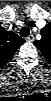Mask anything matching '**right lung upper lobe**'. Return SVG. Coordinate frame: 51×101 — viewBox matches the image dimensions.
Listing matches in <instances>:
<instances>
[{
    "instance_id": "1",
    "label": "right lung upper lobe",
    "mask_w": 51,
    "mask_h": 101,
    "mask_svg": "<svg viewBox=\"0 0 51 101\" xmlns=\"http://www.w3.org/2000/svg\"><path fill=\"white\" fill-rule=\"evenodd\" d=\"M25 42L13 31H7L0 26V67L6 65L17 49Z\"/></svg>"
}]
</instances>
